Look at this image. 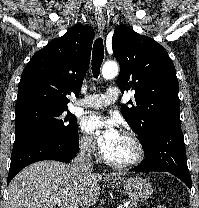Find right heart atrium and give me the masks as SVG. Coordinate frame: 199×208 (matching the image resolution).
Returning <instances> with one entry per match:
<instances>
[{
  "mask_svg": "<svg viewBox=\"0 0 199 208\" xmlns=\"http://www.w3.org/2000/svg\"><path fill=\"white\" fill-rule=\"evenodd\" d=\"M80 151L87 157H94L97 154L95 143L86 135H80L78 139Z\"/></svg>",
  "mask_w": 199,
  "mask_h": 208,
  "instance_id": "d8ad5b80",
  "label": "right heart atrium"
}]
</instances>
